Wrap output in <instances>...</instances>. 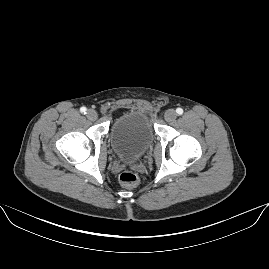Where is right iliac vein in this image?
<instances>
[{
  "label": "right iliac vein",
  "mask_w": 269,
  "mask_h": 269,
  "mask_svg": "<svg viewBox=\"0 0 269 269\" xmlns=\"http://www.w3.org/2000/svg\"><path fill=\"white\" fill-rule=\"evenodd\" d=\"M86 116L91 121L96 120L97 119V112L93 109H89L86 113Z\"/></svg>",
  "instance_id": "63e3f726"
}]
</instances>
